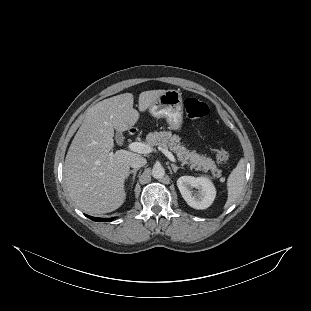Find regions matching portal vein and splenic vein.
<instances>
[{
  "mask_svg": "<svg viewBox=\"0 0 311 311\" xmlns=\"http://www.w3.org/2000/svg\"><path fill=\"white\" fill-rule=\"evenodd\" d=\"M127 148L130 151L137 152V153H149L151 151L150 146L138 142V141H133L127 144ZM164 154L167 156V158L172 162V163H177V159L173 155L171 151L168 149H163ZM109 164L110 167L112 168L114 166V157H113V152L109 154Z\"/></svg>",
  "mask_w": 311,
  "mask_h": 311,
  "instance_id": "obj_1",
  "label": "portal vein and splenic vein"
}]
</instances>
